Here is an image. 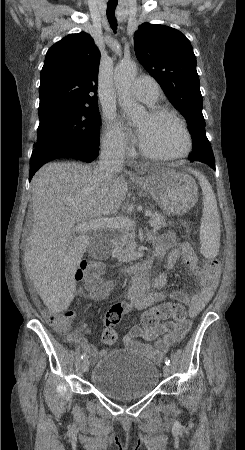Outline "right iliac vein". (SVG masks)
<instances>
[{
	"label": "right iliac vein",
	"mask_w": 245,
	"mask_h": 450,
	"mask_svg": "<svg viewBox=\"0 0 245 450\" xmlns=\"http://www.w3.org/2000/svg\"><path fill=\"white\" fill-rule=\"evenodd\" d=\"M81 368L83 372H87L89 369V360L87 358L83 359L81 363Z\"/></svg>",
	"instance_id": "1"
}]
</instances>
